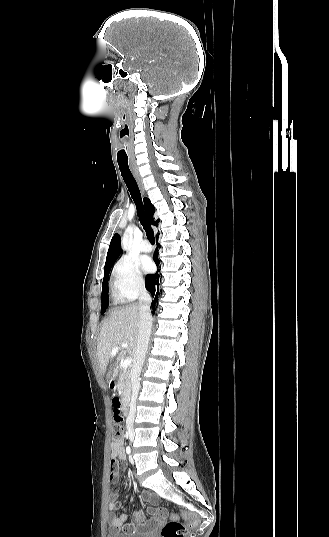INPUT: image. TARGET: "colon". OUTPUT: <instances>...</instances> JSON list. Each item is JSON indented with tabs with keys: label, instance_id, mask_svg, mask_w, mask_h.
<instances>
[{
	"label": "colon",
	"instance_id": "1",
	"mask_svg": "<svg viewBox=\"0 0 329 537\" xmlns=\"http://www.w3.org/2000/svg\"><path fill=\"white\" fill-rule=\"evenodd\" d=\"M112 403H117V399L113 398ZM113 415V410H112ZM112 442L113 443H119L123 439V427L121 423L116 424L114 423L112 426ZM170 520L163 526L161 530V537H184L186 532V527L183 523H181L178 519L181 520H196L199 518L200 513L196 509H173L169 513ZM194 523H191L193 525Z\"/></svg>",
	"mask_w": 329,
	"mask_h": 537
}]
</instances>
